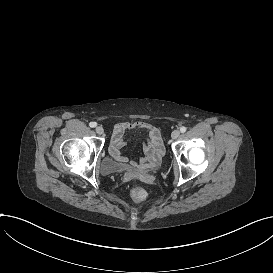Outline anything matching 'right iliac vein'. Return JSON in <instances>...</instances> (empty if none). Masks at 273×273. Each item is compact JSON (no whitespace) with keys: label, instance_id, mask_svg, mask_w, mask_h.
<instances>
[{"label":"right iliac vein","instance_id":"right-iliac-vein-1","mask_svg":"<svg viewBox=\"0 0 273 273\" xmlns=\"http://www.w3.org/2000/svg\"><path fill=\"white\" fill-rule=\"evenodd\" d=\"M95 131L98 135H102L104 133V129L102 126H97Z\"/></svg>","mask_w":273,"mask_h":273}]
</instances>
